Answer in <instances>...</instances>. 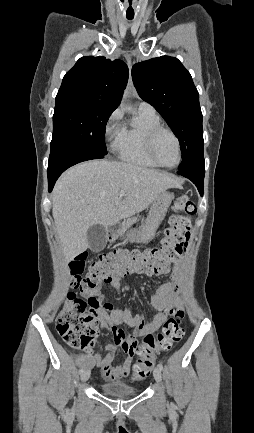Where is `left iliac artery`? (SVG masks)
<instances>
[{
  "mask_svg": "<svg viewBox=\"0 0 254 433\" xmlns=\"http://www.w3.org/2000/svg\"><path fill=\"white\" fill-rule=\"evenodd\" d=\"M157 366H158V368H159L160 370H163V365H162L161 362H159Z\"/></svg>",
  "mask_w": 254,
  "mask_h": 433,
  "instance_id": "44dca946",
  "label": "left iliac artery"
}]
</instances>
